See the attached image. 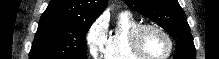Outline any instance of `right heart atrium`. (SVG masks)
<instances>
[{
  "mask_svg": "<svg viewBox=\"0 0 219 59\" xmlns=\"http://www.w3.org/2000/svg\"><path fill=\"white\" fill-rule=\"evenodd\" d=\"M106 39V24L102 18H99L88 29L85 37L86 45L91 56L97 57L102 53Z\"/></svg>",
  "mask_w": 219,
  "mask_h": 59,
  "instance_id": "obj_1",
  "label": "right heart atrium"
}]
</instances>
